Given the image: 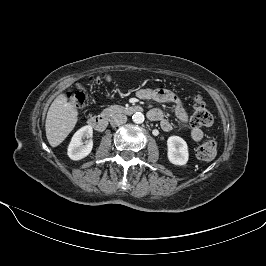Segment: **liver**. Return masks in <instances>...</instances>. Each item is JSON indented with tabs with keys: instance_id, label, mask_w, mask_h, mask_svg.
<instances>
[{
	"instance_id": "6515ba94",
	"label": "liver",
	"mask_w": 266,
	"mask_h": 266,
	"mask_svg": "<svg viewBox=\"0 0 266 266\" xmlns=\"http://www.w3.org/2000/svg\"><path fill=\"white\" fill-rule=\"evenodd\" d=\"M67 95L61 94L52 102L46 117L45 129L52 147L62 143L74 129L78 120L76 107L67 102Z\"/></svg>"
}]
</instances>
